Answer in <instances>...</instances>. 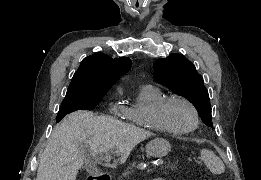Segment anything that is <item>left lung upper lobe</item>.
<instances>
[{
    "label": "left lung upper lobe",
    "instance_id": "obj_1",
    "mask_svg": "<svg viewBox=\"0 0 261 180\" xmlns=\"http://www.w3.org/2000/svg\"><path fill=\"white\" fill-rule=\"evenodd\" d=\"M154 79L193 103L203 123L212 126L211 105L203 78L195 66L181 54H171L154 63Z\"/></svg>",
    "mask_w": 261,
    "mask_h": 180
}]
</instances>
